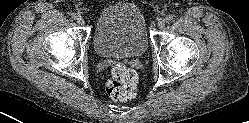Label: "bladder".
<instances>
[{
    "mask_svg": "<svg viewBox=\"0 0 249 123\" xmlns=\"http://www.w3.org/2000/svg\"><path fill=\"white\" fill-rule=\"evenodd\" d=\"M92 42L100 57H138L148 49L146 17L133 0H118L102 10L94 24Z\"/></svg>",
    "mask_w": 249,
    "mask_h": 123,
    "instance_id": "obj_1",
    "label": "bladder"
}]
</instances>
